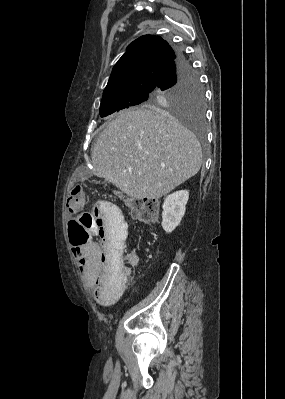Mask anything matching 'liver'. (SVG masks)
Here are the masks:
<instances>
[{"label":"liver","mask_w":285,"mask_h":399,"mask_svg":"<svg viewBox=\"0 0 285 399\" xmlns=\"http://www.w3.org/2000/svg\"><path fill=\"white\" fill-rule=\"evenodd\" d=\"M93 174L133 199H159L202 164L199 141L165 111H121L107 123L91 153Z\"/></svg>","instance_id":"liver-1"}]
</instances>
